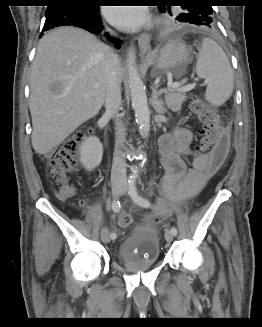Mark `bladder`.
Instances as JSON below:
<instances>
[{"mask_svg": "<svg viewBox=\"0 0 262 327\" xmlns=\"http://www.w3.org/2000/svg\"><path fill=\"white\" fill-rule=\"evenodd\" d=\"M160 254L159 233L150 229H140L130 233L118 249V256L123 262L139 258L152 265L159 262Z\"/></svg>", "mask_w": 262, "mask_h": 327, "instance_id": "31cf9c89", "label": "bladder"}]
</instances>
